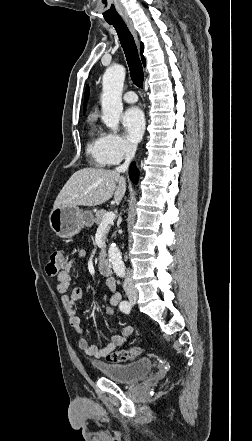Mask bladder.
<instances>
[{
	"instance_id": "bladder-1",
	"label": "bladder",
	"mask_w": 252,
	"mask_h": 441,
	"mask_svg": "<svg viewBox=\"0 0 252 441\" xmlns=\"http://www.w3.org/2000/svg\"><path fill=\"white\" fill-rule=\"evenodd\" d=\"M101 374L119 383H134L146 377L152 370V360L143 357L131 363H96Z\"/></svg>"
}]
</instances>
